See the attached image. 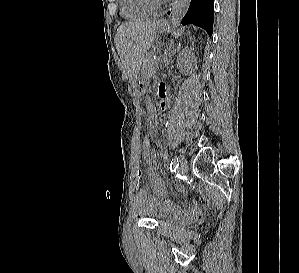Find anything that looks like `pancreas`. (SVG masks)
I'll list each match as a JSON object with an SVG mask.
<instances>
[{
	"label": "pancreas",
	"mask_w": 299,
	"mask_h": 273,
	"mask_svg": "<svg viewBox=\"0 0 299 273\" xmlns=\"http://www.w3.org/2000/svg\"><path fill=\"white\" fill-rule=\"evenodd\" d=\"M159 61L153 58V53H148L143 61V71L146 76L152 75L158 67Z\"/></svg>",
	"instance_id": "1"
}]
</instances>
